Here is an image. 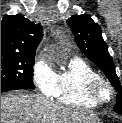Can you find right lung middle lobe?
<instances>
[{
  "instance_id": "dd1d6c3e",
  "label": "right lung middle lobe",
  "mask_w": 122,
  "mask_h": 123,
  "mask_svg": "<svg viewBox=\"0 0 122 123\" xmlns=\"http://www.w3.org/2000/svg\"><path fill=\"white\" fill-rule=\"evenodd\" d=\"M35 55L1 54V83H12L34 89L33 66Z\"/></svg>"
}]
</instances>
